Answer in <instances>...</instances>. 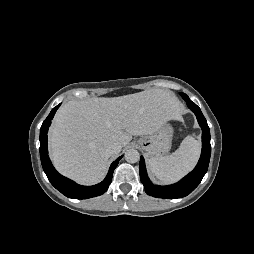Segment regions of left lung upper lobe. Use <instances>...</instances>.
<instances>
[{
    "mask_svg": "<svg viewBox=\"0 0 254 254\" xmlns=\"http://www.w3.org/2000/svg\"><path fill=\"white\" fill-rule=\"evenodd\" d=\"M181 96H182V98L186 101V100H190L189 99V97L186 95V94H184V93H181Z\"/></svg>",
    "mask_w": 254,
    "mask_h": 254,
    "instance_id": "left-lung-upper-lobe-1",
    "label": "left lung upper lobe"
}]
</instances>
